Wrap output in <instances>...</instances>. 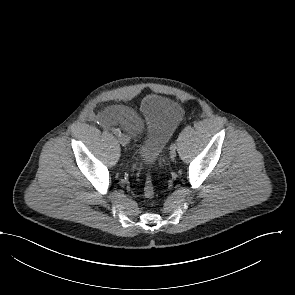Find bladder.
Listing matches in <instances>:
<instances>
[{
	"instance_id": "obj_1",
	"label": "bladder",
	"mask_w": 295,
	"mask_h": 295,
	"mask_svg": "<svg viewBox=\"0 0 295 295\" xmlns=\"http://www.w3.org/2000/svg\"><path fill=\"white\" fill-rule=\"evenodd\" d=\"M139 115L146 129L137 146L138 158L145 164H153L181 120L182 107L170 97L149 95L142 101Z\"/></svg>"
}]
</instances>
